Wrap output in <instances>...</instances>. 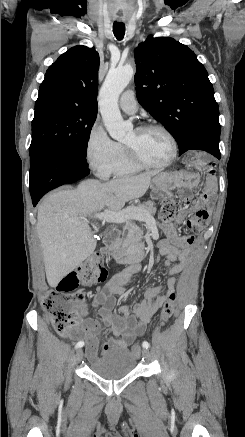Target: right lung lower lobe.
<instances>
[{
	"mask_svg": "<svg viewBox=\"0 0 245 437\" xmlns=\"http://www.w3.org/2000/svg\"><path fill=\"white\" fill-rule=\"evenodd\" d=\"M89 174L86 160L45 153L30 163L29 188L34 206L50 190Z\"/></svg>",
	"mask_w": 245,
	"mask_h": 437,
	"instance_id": "obj_1",
	"label": "right lung lower lobe"
}]
</instances>
